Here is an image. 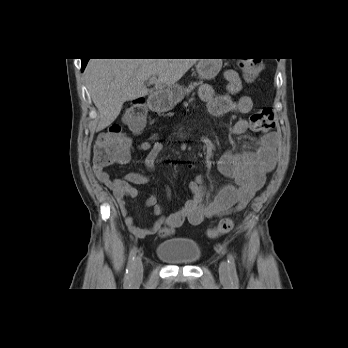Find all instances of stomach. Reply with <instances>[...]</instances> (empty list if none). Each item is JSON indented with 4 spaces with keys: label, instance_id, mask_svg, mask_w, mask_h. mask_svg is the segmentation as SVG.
Here are the masks:
<instances>
[{
    "label": "stomach",
    "instance_id": "obj_1",
    "mask_svg": "<svg viewBox=\"0 0 348 348\" xmlns=\"http://www.w3.org/2000/svg\"><path fill=\"white\" fill-rule=\"evenodd\" d=\"M222 67L221 59H199L196 65L198 76L204 80L216 77ZM184 97L182 86L175 84L156 94L151 106L158 112H166L173 109Z\"/></svg>",
    "mask_w": 348,
    "mask_h": 348
}]
</instances>
